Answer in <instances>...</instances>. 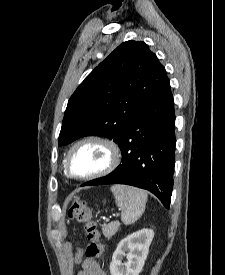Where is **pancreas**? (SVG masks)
Returning a JSON list of instances; mask_svg holds the SVG:
<instances>
[{"label":"pancreas","mask_w":225,"mask_h":275,"mask_svg":"<svg viewBox=\"0 0 225 275\" xmlns=\"http://www.w3.org/2000/svg\"><path fill=\"white\" fill-rule=\"evenodd\" d=\"M120 226L118 221L111 222L109 224H105L102 226V232L105 237L111 238L113 235L116 234Z\"/></svg>","instance_id":"pancreas-1"}]
</instances>
